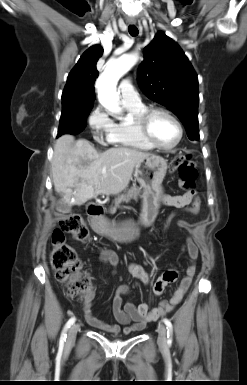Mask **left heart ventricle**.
Wrapping results in <instances>:
<instances>
[{
  "instance_id": "obj_1",
  "label": "left heart ventricle",
  "mask_w": 247,
  "mask_h": 385,
  "mask_svg": "<svg viewBox=\"0 0 247 385\" xmlns=\"http://www.w3.org/2000/svg\"><path fill=\"white\" fill-rule=\"evenodd\" d=\"M150 131L154 140L163 145H172L178 138L175 123L163 114H156L150 123Z\"/></svg>"
}]
</instances>
